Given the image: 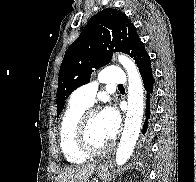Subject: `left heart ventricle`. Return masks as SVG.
<instances>
[{"label":"left heart ventricle","instance_id":"left-heart-ventricle-1","mask_svg":"<svg viewBox=\"0 0 196 182\" xmlns=\"http://www.w3.org/2000/svg\"><path fill=\"white\" fill-rule=\"evenodd\" d=\"M86 140L91 148L99 149L106 146L109 140L103 135L98 124V115H92L87 122Z\"/></svg>","mask_w":196,"mask_h":182}]
</instances>
